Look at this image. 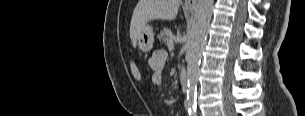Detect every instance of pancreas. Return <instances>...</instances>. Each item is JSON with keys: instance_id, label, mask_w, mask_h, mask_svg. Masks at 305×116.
<instances>
[{"instance_id": "obj_1", "label": "pancreas", "mask_w": 305, "mask_h": 116, "mask_svg": "<svg viewBox=\"0 0 305 116\" xmlns=\"http://www.w3.org/2000/svg\"><path fill=\"white\" fill-rule=\"evenodd\" d=\"M172 32L168 28H164L160 34L158 35V38L162 42H168V40L171 38Z\"/></svg>"}]
</instances>
